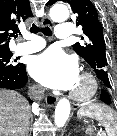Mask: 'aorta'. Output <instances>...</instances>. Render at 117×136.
<instances>
[{
	"instance_id": "aorta-1",
	"label": "aorta",
	"mask_w": 117,
	"mask_h": 136,
	"mask_svg": "<svg viewBox=\"0 0 117 136\" xmlns=\"http://www.w3.org/2000/svg\"><path fill=\"white\" fill-rule=\"evenodd\" d=\"M51 18L56 22L66 21L69 17V9L63 4L54 5L50 10ZM70 102L60 99L55 108L54 122L57 127H63L70 115Z\"/></svg>"
}]
</instances>
